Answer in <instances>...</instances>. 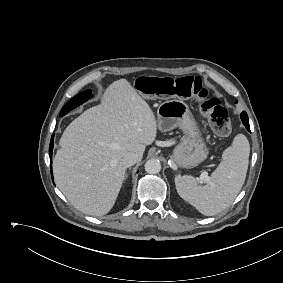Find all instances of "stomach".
<instances>
[{"label":"stomach","mask_w":283,"mask_h":283,"mask_svg":"<svg viewBox=\"0 0 283 283\" xmlns=\"http://www.w3.org/2000/svg\"><path fill=\"white\" fill-rule=\"evenodd\" d=\"M157 127L166 132L179 127L184 136L173 152L174 162L182 168H193L208 156V148L201 136L188 105L182 100L174 99L161 103L157 109Z\"/></svg>","instance_id":"stomach-1"}]
</instances>
